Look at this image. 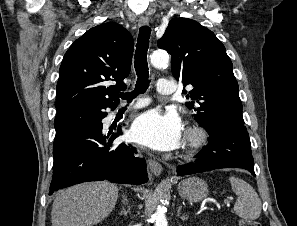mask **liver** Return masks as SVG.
Returning <instances> with one entry per match:
<instances>
[{"instance_id":"obj_1","label":"liver","mask_w":297,"mask_h":226,"mask_svg":"<svg viewBox=\"0 0 297 226\" xmlns=\"http://www.w3.org/2000/svg\"><path fill=\"white\" fill-rule=\"evenodd\" d=\"M118 187L108 182L84 183L70 187L55 198L52 226H92L114 209Z\"/></svg>"}]
</instances>
